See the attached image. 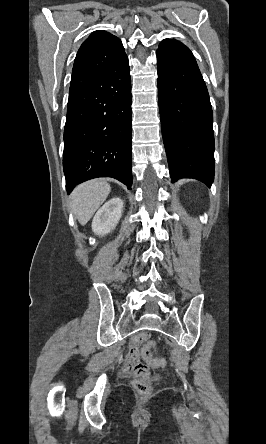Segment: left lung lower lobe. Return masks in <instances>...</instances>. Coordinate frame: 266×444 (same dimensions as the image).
I'll return each instance as SVG.
<instances>
[{"instance_id":"obj_1","label":"left lung lower lobe","mask_w":266,"mask_h":444,"mask_svg":"<svg viewBox=\"0 0 266 444\" xmlns=\"http://www.w3.org/2000/svg\"><path fill=\"white\" fill-rule=\"evenodd\" d=\"M162 136L172 182L214 179L213 114L209 94L195 64L157 55Z\"/></svg>"}]
</instances>
